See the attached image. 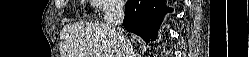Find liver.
<instances>
[{
  "label": "liver",
  "instance_id": "obj_1",
  "mask_svg": "<svg viewBox=\"0 0 249 57\" xmlns=\"http://www.w3.org/2000/svg\"><path fill=\"white\" fill-rule=\"evenodd\" d=\"M61 39L62 57H122L118 39L103 24H68Z\"/></svg>",
  "mask_w": 249,
  "mask_h": 57
}]
</instances>
